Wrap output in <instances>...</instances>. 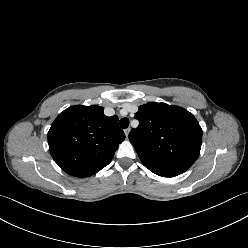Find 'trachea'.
<instances>
[{"label": "trachea", "instance_id": "trachea-1", "mask_svg": "<svg viewBox=\"0 0 248 248\" xmlns=\"http://www.w3.org/2000/svg\"><path fill=\"white\" fill-rule=\"evenodd\" d=\"M119 124H120L121 128L126 129L129 126V119L126 117L122 118V119H120Z\"/></svg>", "mask_w": 248, "mask_h": 248}]
</instances>
